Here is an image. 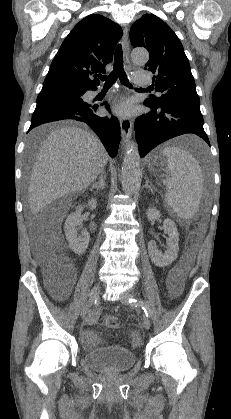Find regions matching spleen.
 <instances>
[{
	"label": "spleen",
	"mask_w": 231,
	"mask_h": 419,
	"mask_svg": "<svg viewBox=\"0 0 231 419\" xmlns=\"http://www.w3.org/2000/svg\"><path fill=\"white\" fill-rule=\"evenodd\" d=\"M161 154L167 159L166 172L171 176L165 201L178 217L190 219L196 214L203 193L201 167L190 152L180 147L167 146Z\"/></svg>",
	"instance_id": "spleen-1"
}]
</instances>
